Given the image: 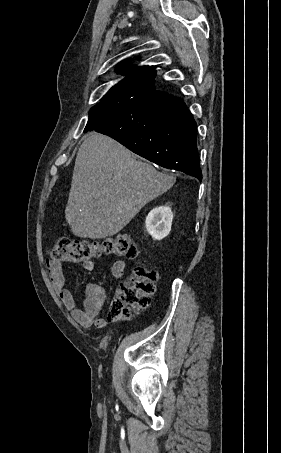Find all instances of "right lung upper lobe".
Instances as JSON below:
<instances>
[{
    "instance_id": "cb5924a9",
    "label": "right lung upper lobe",
    "mask_w": 281,
    "mask_h": 453,
    "mask_svg": "<svg viewBox=\"0 0 281 453\" xmlns=\"http://www.w3.org/2000/svg\"><path fill=\"white\" fill-rule=\"evenodd\" d=\"M154 66H133L128 61H122L117 68L126 77L113 86L93 108L111 107L121 101L134 98L156 89L154 84L156 70Z\"/></svg>"
}]
</instances>
